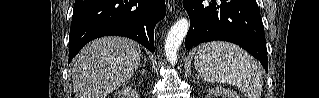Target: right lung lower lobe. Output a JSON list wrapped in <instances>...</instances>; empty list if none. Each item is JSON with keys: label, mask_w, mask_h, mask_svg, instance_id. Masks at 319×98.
Masks as SVG:
<instances>
[{"label": "right lung lower lobe", "mask_w": 319, "mask_h": 98, "mask_svg": "<svg viewBox=\"0 0 319 98\" xmlns=\"http://www.w3.org/2000/svg\"><path fill=\"white\" fill-rule=\"evenodd\" d=\"M164 16V0H76L69 62L89 41L110 35L129 37L154 52V27Z\"/></svg>", "instance_id": "right-lung-lower-lobe-1"}]
</instances>
